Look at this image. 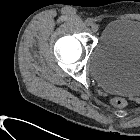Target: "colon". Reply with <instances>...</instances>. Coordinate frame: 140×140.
Returning a JSON list of instances; mask_svg holds the SVG:
<instances>
[{
    "instance_id": "1",
    "label": "colon",
    "mask_w": 140,
    "mask_h": 140,
    "mask_svg": "<svg viewBox=\"0 0 140 140\" xmlns=\"http://www.w3.org/2000/svg\"><path fill=\"white\" fill-rule=\"evenodd\" d=\"M111 103H112L113 106H115L117 108H123V107L126 106L127 101L123 97L115 96L111 99Z\"/></svg>"
}]
</instances>
